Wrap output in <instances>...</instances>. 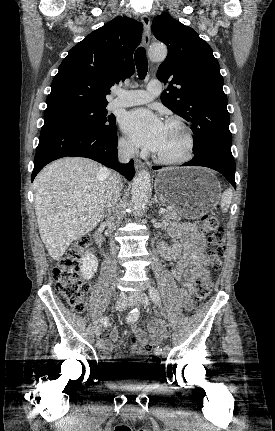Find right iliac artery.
<instances>
[{
  "instance_id": "obj_1",
  "label": "right iliac artery",
  "mask_w": 275,
  "mask_h": 431,
  "mask_svg": "<svg viewBox=\"0 0 275 431\" xmlns=\"http://www.w3.org/2000/svg\"><path fill=\"white\" fill-rule=\"evenodd\" d=\"M140 315L139 309L138 308H134L130 311V313L128 314L127 317V322L128 323H134L135 321L138 320ZM100 322L103 326H107L109 324V319L107 317H102L100 319Z\"/></svg>"
}]
</instances>
